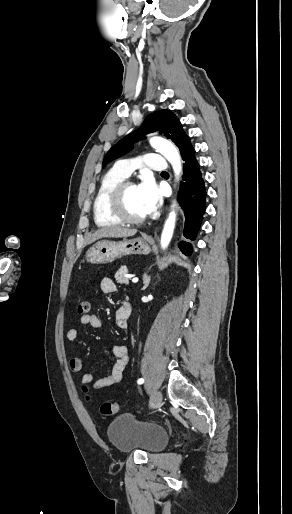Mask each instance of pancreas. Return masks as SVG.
Returning <instances> with one entry per match:
<instances>
[{"label": "pancreas", "instance_id": "1", "mask_svg": "<svg viewBox=\"0 0 292 514\" xmlns=\"http://www.w3.org/2000/svg\"><path fill=\"white\" fill-rule=\"evenodd\" d=\"M125 274H128V270L125 266H121L115 274L117 284H129V278H126Z\"/></svg>", "mask_w": 292, "mask_h": 514}]
</instances>
